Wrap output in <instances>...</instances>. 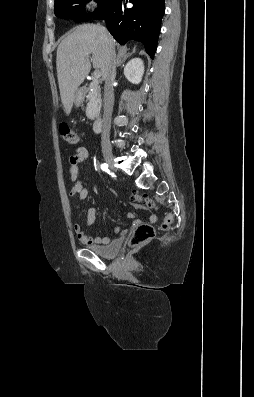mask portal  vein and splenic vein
Here are the masks:
<instances>
[{"label": "portal vein and splenic vein", "instance_id": "18ae733b", "mask_svg": "<svg viewBox=\"0 0 254 397\" xmlns=\"http://www.w3.org/2000/svg\"><path fill=\"white\" fill-rule=\"evenodd\" d=\"M93 77H94V80H97L98 78H100L101 77L100 71H98V70L94 71Z\"/></svg>", "mask_w": 254, "mask_h": 397}]
</instances>
